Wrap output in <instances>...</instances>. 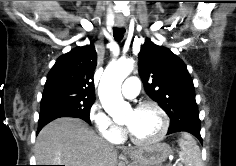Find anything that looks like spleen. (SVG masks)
<instances>
[{
    "label": "spleen",
    "instance_id": "obj_1",
    "mask_svg": "<svg viewBox=\"0 0 236 166\" xmlns=\"http://www.w3.org/2000/svg\"><path fill=\"white\" fill-rule=\"evenodd\" d=\"M178 144L181 149L179 158L185 166H204L200 148L190 134L182 133Z\"/></svg>",
    "mask_w": 236,
    "mask_h": 166
}]
</instances>
